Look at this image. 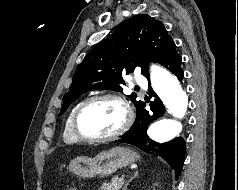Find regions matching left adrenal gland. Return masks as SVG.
I'll list each match as a JSON object with an SVG mask.
<instances>
[{"instance_id":"a2214340","label":"left adrenal gland","mask_w":238,"mask_h":190,"mask_svg":"<svg viewBox=\"0 0 238 190\" xmlns=\"http://www.w3.org/2000/svg\"><path fill=\"white\" fill-rule=\"evenodd\" d=\"M139 175V171H135L134 175L126 182L123 190L127 189V186L130 184V182L135 179Z\"/></svg>"}]
</instances>
